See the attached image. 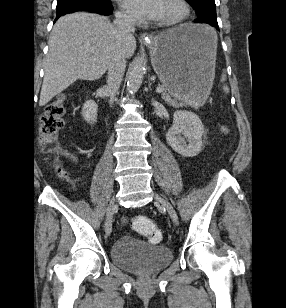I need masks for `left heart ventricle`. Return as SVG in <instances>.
Here are the masks:
<instances>
[{
  "mask_svg": "<svg viewBox=\"0 0 286 308\" xmlns=\"http://www.w3.org/2000/svg\"><path fill=\"white\" fill-rule=\"evenodd\" d=\"M173 0H161L158 20L175 18L180 14L179 7L172 2Z\"/></svg>",
  "mask_w": 286,
  "mask_h": 308,
  "instance_id": "left-heart-ventricle-1",
  "label": "left heart ventricle"
}]
</instances>
